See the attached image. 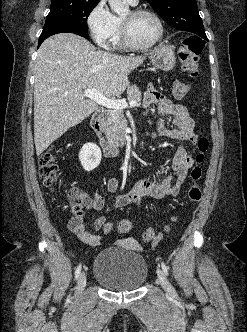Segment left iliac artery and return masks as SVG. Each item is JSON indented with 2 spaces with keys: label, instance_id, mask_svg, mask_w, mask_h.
Here are the masks:
<instances>
[{
  "label": "left iliac artery",
  "instance_id": "1",
  "mask_svg": "<svg viewBox=\"0 0 247 332\" xmlns=\"http://www.w3.org/2000/svg\"><path fill=\"white\" fill-rule=\"evenodd\" d=\"M161 266H162V270H163L164 274L168 275V267H167V265L164 262H162Z\"/></svg>",
  "mask_w": 247,
  "mask_h": 332
}]
</instances>
